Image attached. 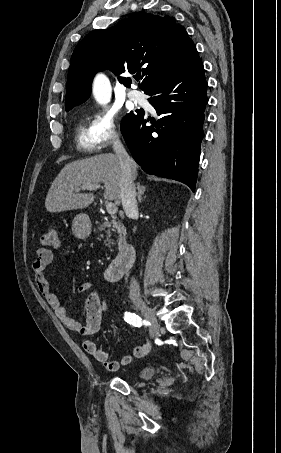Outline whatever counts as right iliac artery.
<instances>
[{
  "label": "right iliac artery",
  "mask_w": 281,
  "mask_h": 453,
  "mask_svg": "<svg viewBox=\"0 0 281 453\" xmlns=\"http://www.w3.org/2000/svg\"><path fill=\"white\" fill-rule=\"evenodd\" d=\"M124 320L135 327L142 326V319L135 313L125 312Z\"/></svg>",
  "instance_id": "1"
}]
</instances>
